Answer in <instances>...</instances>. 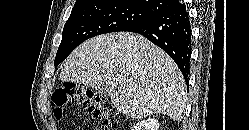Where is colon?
Returning <instances> with one entry per match:
<instances>
[{
  "label": "colon",
  "instance_id": "obj_1",
  "mask_svg": "<svg viewBox=\"0 0 249 130\" xmlns=\"http://www.w3.org/2000/svg\"><path fill=\"white\" fill-rule=\"evenodd\" d=\"M51 105L57 119L62 117L64 107L81 105L92 113L96 119L101 121L104 130H108L111 126L112 113L110 103L91 90L74 83L59 85L51 95Z\"/></svg>",
  "mask_w": 249,
  "mask_h": 130
}]
</instances>
